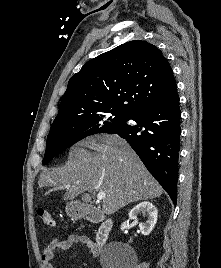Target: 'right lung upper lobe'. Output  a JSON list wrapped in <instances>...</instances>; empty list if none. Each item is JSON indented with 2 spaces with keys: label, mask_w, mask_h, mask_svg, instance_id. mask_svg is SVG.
Segmentation results:
<instances>
[{
  "label": "right lung upper lobe",
  "mask_w": 221,
  "mask_h": 268,
  "mask_svg": "<svg viewBox=\"0 0 221 268\" xmlns=\"http://www.w3.org/2000/svg\"><path fill=\"white\" fill-rule=\"evenodd\" d=\"M177 97L172 68L160 50L135 40L84 64L69 80L57 117L99 111L132 117Z\"/></svg>",
  "instance_id": "cb5924a9"
}]
</instances>
